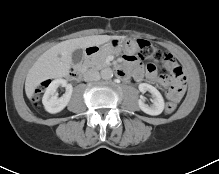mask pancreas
<instances>
[{
	"instance_id": "cf45deb5",
	"label": "pancreas",
	"mask_w": 219,
	"mask_h": 174,
	"mask_svg": "<svg viewBox=\"0 0 219 174\" xmlns=\"http://www.w3.org/2000/svg\"><path fill=\"white\" fill-rule=\"evenodd\" d=\"M111 53L112 52L109 51L99 52L93 55L92 57H90L89 59H86L84 62V66L87 68L100 70L103 67L107 66L106 57Z\"/></svg>"
}]
</instances>
